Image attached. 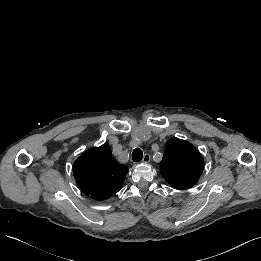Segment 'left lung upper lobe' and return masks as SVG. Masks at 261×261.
Returning a JSON list of instances; mask_svg holds the SVG:
<instances>
[{
	"instance_id": "5c2ea615",
	"label": "left lung upper lobe",
	"mask_w": 261,
	"mask_h": 261,
	"mask_svg": "<svg viewBox=\"0 0 261 261\" xmlns=\"http://www.w3.org/2000/svg\"><path fill=\"white\" fill-rule=\"evenodd\" d=\"M159 169L173 188L186 189L198 181L204 169V160L191 143L172 138L166 144Z\"/></svg>"
}]
</instances>
